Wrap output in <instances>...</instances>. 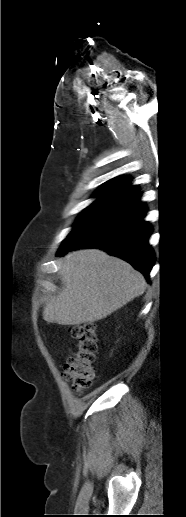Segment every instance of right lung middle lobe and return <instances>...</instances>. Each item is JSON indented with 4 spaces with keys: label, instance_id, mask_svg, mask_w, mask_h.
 Here are the masks:
<instances>
[{
    "label": "right lung middle lobe",
    "instance_id": "1",
    "mask_svg": "<svg viewBox=\"0 0 186 517\" xmlns=\"http://www.w3.org/2000/svg\"><path fill=\"white\" fill-rule=\"evenodd\" d=\"M114 204L115 203L110 202V201L96 200L94 203H92L90 206H88L86 209H84V211L81 213V215L78 217L76 223L74 224V229L67 236L66 239H68L74 233H76L78 230L82 229L84 226L91 223L99 216H101Z\"/></svg>",
    "mask_w": 186,
    "mask_h": 517
}]
</instances>
